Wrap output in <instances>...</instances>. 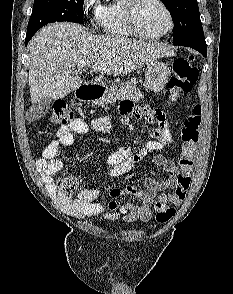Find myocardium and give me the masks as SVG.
<instances>
[{"mask_svg": "<svg viewBox=\"0 0 233 294\" xmlns=\"http://www.w3.org/2000/svg\"><path fill=\"white\" fill-rule=\"evenodd\" d=\"M127 5H126V18H127V22L128 25L130 27V29L139 37L141 38H145V39H160L163 38L165 36H167L168 34H170L174 28V18H173V14L170 10V8L168 7V5L165 3L164 0H155L166 12L167 17H168V21H169V25L168 28L160 33V34H148L146 32H144L139 23H138V19H137V11L139 8V5L143 2V0H127Z\"/></svg>", "mask_w": 233, "mask_h": 294, "instance_id": "1", "label": "myocardium"}]
</instances>
